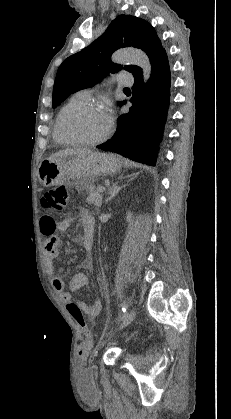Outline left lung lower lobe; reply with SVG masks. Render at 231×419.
Returning <instances> with one entry per match:
<instances>
[{
  "mask_svg": "<svg viewBox=\"0 0 231 419\" xmlns=\"http://www.w3.org/2000/svg\"><path fill=\"white\" fill-rule=\"evenodd\" d=\"M151 76L143 85L142 73L134 76L132 106L118 117L117 131L99 149L155 165V150L161 140L170 99V67L166 51L151 64ZM125 104L119 103V106Z\"/></svg>",
  "mask_w": 231,
  "mask_h": 419,
  "instance_id": "0a47b994",
  "label": "left lung lower lobe"
}]
</instances>
